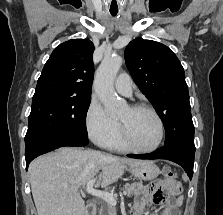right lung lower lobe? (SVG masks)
I'll list each match as a JSON object with an SVG mask.
<instances>
[{
	"instance_id": "98d812e1",
	"label": "right lung lower lobe",
	"mask_w": 223,
	"mask_h": 215,
	"mask_svg": "<svg viewBox=\"0 0 223 215\" xmlns=\"http://www.w3.org/2000/svg\"><path fill=\"white\" fill-rule=\"evenodd\" d=\"M89 143L87 138L74 137V136H54L39 138L25 143V158H26V170L29 163L39 155L50 152L64 146H86Z\"/></svg>"
}]
</instances>
